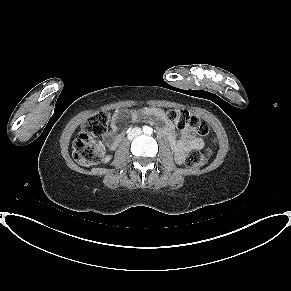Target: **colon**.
<instances>
[{
	"mask_svg": "<svg viewBox=\"0 0 291 291\" xmlns=\"http://www.w3.org/2000/svg\"><path fill=\"white\" fill-rule=\"evenodd\" d=\"M166 115L180 129H189L203 136L209 132L208 126L187 110L170 109ZM108 122L109 114L100 112L90 117L83 124L73 144V157L78 164L90 166L101 161L103 149L95 138L103 136L107 132ZM213 144L214 140H210L206 148V154L199 151H190L185 157V165L189 168H199L204 165Z\"/></svg>",
	"mask_w": 291,
	"mask_h": 291,
	"instance_id": "colon-1",
	"label": "colon"
}]
</instances>
